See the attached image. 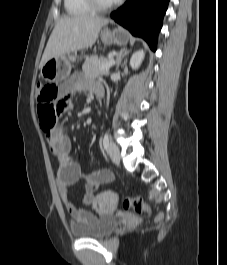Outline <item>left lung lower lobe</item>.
<instances>
[{
	"instance_id": "1",
	"label": "left lung lower lobe",
	"mask_w": 227,
	"mask_h": 265,
	"mask_svg": "<svg viewBox=\"0 0 227 265\" xmlns=\"http://www.w3.org/2000/svg\"><path fill=\"white\" fill-rule=\"evenodd\" d=\"M168 3L169 0H127L111 17L133 35L142 37L155 51Z\"/></svg>"
}]
</instances>
